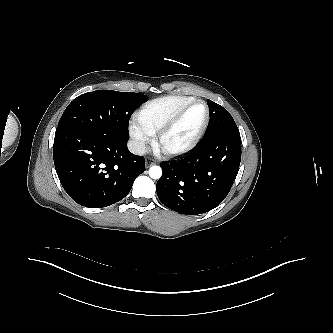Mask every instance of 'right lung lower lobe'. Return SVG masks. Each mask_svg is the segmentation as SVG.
Wrapping results in <instances>:
<instances>
[{
  "label": "right lung lower lobe",
  "mask_w": 333,
  "mask_h": 333,
  "mask_svg": "<svg viewBox=\"0 0 333 333\" xmlns=\"http://www.w3.org/2000/svg\"><path fill=\"white\" fill-rule=\"evenodd\" d=\"M127 142L56 130L53 159L66 193L89 208L107 207L127 196L145 169V159L132 154Z\"/></svg>",
  "instance_id": "obj_1"
}]
</instances>
